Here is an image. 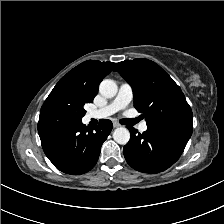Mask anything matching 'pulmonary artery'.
Here are the masks:
<instances>
[{
    "mask_svg": "<svg viewBox=\"0 0 224 224\" xmlns=\"http://www.w3.org/2000/svg\"><path fill=\"white\" fill-rule=\"evenodd\" d=\"M132 99H133L132 87L128 83H122L118 89V93L115 99L108 105L100 109L91 111L89 113V116L95 119L106 118L116 113L117 111L126 108L129 105V103L132 101ZM147 128L148 126L145 122H143L139 126V129L142 132L146 131Z\"/></svg>",
    "mask_w": 224,
    "mask_h": 224,
    "instance_id": "1",
    "label": "pulmonary artery"
}]
</instances>
